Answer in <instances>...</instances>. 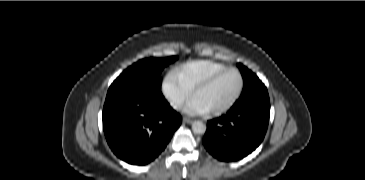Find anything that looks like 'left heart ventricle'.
<instances>
[{
  "label": "left heart ventricle",
  "instance_id": "1",
  "mask_svg": "<svg viewBox=\"0 0 365 180\" xmlns=\"http://www.w3.org/2000/svg\"><path fill=\"white\" fill-rule=\"evenodd\" d=\"M240 84L236 72H227L206 89L200 91L195 100L207 111L227 104L236 94Z\"/></svg>",
  "mask_w": 365,
  "mask_h": 180
}]
</instances>
